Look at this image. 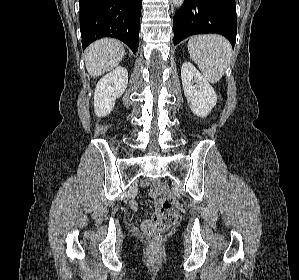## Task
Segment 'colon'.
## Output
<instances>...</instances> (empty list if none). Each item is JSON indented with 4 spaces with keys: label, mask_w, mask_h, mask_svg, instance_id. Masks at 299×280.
<instances>
[{
    "label": "colon",
    "mask_w": 299,
    "mask_h": 280,
    "mask_svg": "<svg viewBox=\"0 0 299 280\" xmlns=\"http://www.w3.org/2000/svg\"><path fill=\"white\" fill-rule=\"evenodd\" d=\"M159 188L162 192H166V187L163 183H159ZM180 220L178 211L172 208L171 202L166 200L163 211L156 214L153 221L147 228V237L151 245H156L160 239L161 233L177 224Z\"/></svg>",
    "instance_id": "obj_1"
}]
</instances>
